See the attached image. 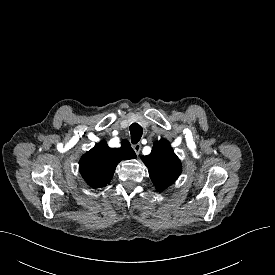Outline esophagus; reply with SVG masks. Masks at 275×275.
<instances>
[{"mask_svg":"<svg viewBox=\"0 0 275 275\" xmlns=\"http://www.w3.org/2000/svg\"><path fill=\"white\" fill-rule=\"evenodd\" d=\"M133 149H134L135 153L138 155L141 150V144L138 143V144L133 145Z\"/></svg>","mask_w":275,"mask_h":275,"instance_id":"1","label":"esophagus"}]
</instances>
